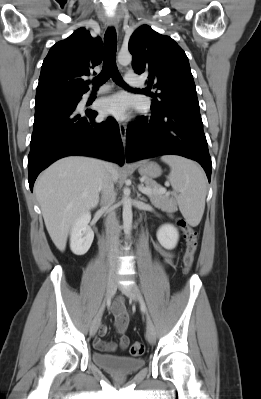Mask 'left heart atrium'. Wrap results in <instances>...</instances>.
<instances>
[{
  "label": "left heart atrium",
  "instance_id": "obj_1",
  "mask_svg": "<svg viewBox=\"0 0 261 399\" xmlns=\"http://www.w3.org/2000/svg\"><path fill=\"white\" fill-rule=\"evenodd\" d=\"M130 101L127 95L118 93L104 98L99 103V110L104 115H110L117 119H124L129 113Z\"/></svg>",
  "mask_w": 261,
  "mask_h": 399
}]
</instances>
